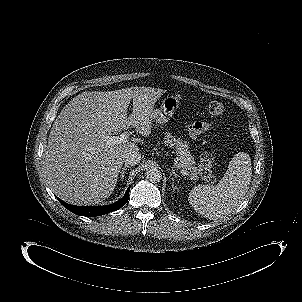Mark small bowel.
I'll list each match as a JSON object with an SVG mask.
<instances>
[{"label":"small bowel","mask_w":302,"mask_h":302,"mask_svg":"<svg viewBox=\"0 0 302 302\" xmlns=\"http://www.w3.org/2000/svg\"><path fill=\"white\" fill-rule=\"evenodd\" d=\"M210 128H211V125L209 123L203 122V121L192 122L187 127L188 134L191 137H197L200 134H202L203 132L209 130Z\"/></svg>","instance_id":"small-bowel-1"}]
</instances>
